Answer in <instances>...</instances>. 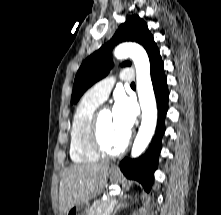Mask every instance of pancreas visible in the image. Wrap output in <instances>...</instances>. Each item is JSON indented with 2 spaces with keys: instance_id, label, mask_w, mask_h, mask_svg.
<instances>
[{
  "instance_id": "obj_1",
  "label": "pancreas",
  "mask_w": 221,
  "mask_h": 215,
  "mask_svg": "<svg viewBox=\"0 0 221 215\" xmlns=\"http://www.w3.org/2000/svg\"><path fill=\"white\" fill-rule=\"evenodd\" d=\"M114 206V198L96 200L89 209L88 215H110Z\"/></svg>"
}]
</instances>
